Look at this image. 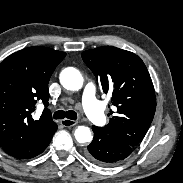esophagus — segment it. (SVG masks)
<instances>
[{
	"instance_id": "esophagus-1",
	"label": "esophagus",
	"mask_w": 183,
	"mask_h": 183,
	"mask_svg": "<svg viewBox=\"0 0 183 183\" xmlns=\"http://www.w3.org/2000/svg\"><path fill=\"white\" fill-rule=\"evenodd\" d=\"M60 123L63 127H72V126L77 125L78 121L70 120V119H63V120H61Z\"/></svg>"
}]
</instances>
